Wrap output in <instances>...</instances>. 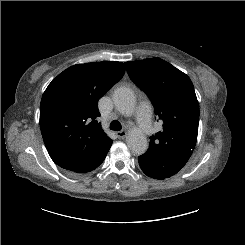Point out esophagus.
<instances>
[{
  "label": "esophagus",
  "instance_id": "obj_1",
  "mask_svg": "<svg viewBox=\"0 0 245 245\" xmlns=\"http://www.w3.org/2000/svg\"><path fill=\"white\" fill-rule=\"evenodd\" d=\"M116 135L119 139H122V138L126 137L127 132L126 131H119L116 133Z\"/></svg>",
  "mask_w": 245,
  "mask_h": 245
}]
</instances>
